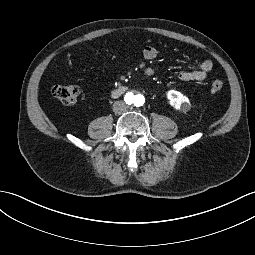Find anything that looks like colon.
<instances>
[{"instance_id": "colon-1", "label": "colon", "mask_w": 255, "mask_h": 255, "mask_svg": "<svg viewBox=\"0 0 255 255\" xmlns=\"http://www.w3.org/2000/svg\"><path fill=\"white\" fill-rule=\"evenodd\" d=\"M210 86L212 92H219L223 88L224 83L222 80L216 79L211 82ZM51 93L63 104L73 105L79 98L80 89L75 85H56L52 88Z\"/></svg>"}]
</instances>
